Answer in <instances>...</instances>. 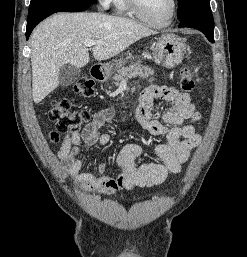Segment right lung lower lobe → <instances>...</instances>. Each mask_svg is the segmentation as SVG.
I'll list each match as a JSON object with an SVG mask.
<instances>
[{
	"instance_id": "98d812e1",
	"label": "right lung lower lobe",
	"mask_w": 247,
	"mask_h": 257,
	"mask_svg": "<svg viewBox=\"0 0 247 257\" xmlns=\"http://www.w3.org/2000/svg\"><path fill=\"white\" fill-rule=\"evenodd\" d=\"M90 4L53 3L39 6L28 12L26 39L29 38L34 27L49 15L56 12H80L89 8Z\"/></svg>"
}]
</instances>
